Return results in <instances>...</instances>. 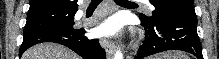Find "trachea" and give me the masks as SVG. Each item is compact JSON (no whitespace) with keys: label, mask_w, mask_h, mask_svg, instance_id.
Listing matches in <instances>:
<instances>
[{"label":"trachea","mask_w":219,"mask_h":59,"mask_svg":"<svg viewBox=\"0 0 219 59\" xmlns=\"http://www.w3.org/2000/svg\"><path fill=\"white\" fill-rule=\"evenodd\" d=\"M102 0H92L89 7L90 8H95L97 7L100 3H101ZM115 3L116 4H120V3H127V4H135L131 1H128V0H115Z\"/></svg>","instance_id":"obj_1"}]
</instances>
